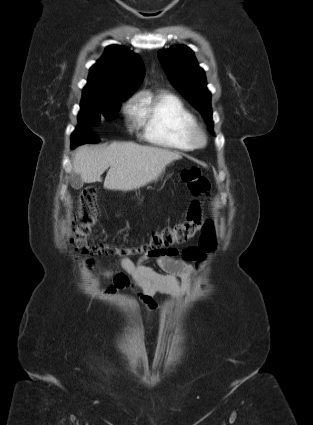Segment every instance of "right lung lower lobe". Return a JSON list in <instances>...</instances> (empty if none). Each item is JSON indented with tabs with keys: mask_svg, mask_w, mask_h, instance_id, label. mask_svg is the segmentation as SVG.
I'll list each match as a JSON object with an SVG mask.
<instances>
[{
	"mask_svg": "<svg viewBox=\"0 0 313 425\" xmlns=\"http://www.w3.org/2000/svg\"><path fill=\"white\" fill-rule=\"evenodd\" d=\"M72 136H76L79 137L81 139V141L83 142H97L98 139L96 138V136L88 131H85L83 127L78 128L77 130H75L72 134ZM76 147V146H75ZM74 148V147H72Z\"/></svg>",
	"mask_w": 313,
	"mask_h": 425,
	"instance_id": "98d812e1",
	"label": "right lung lower lobe"
}]
</instances>
